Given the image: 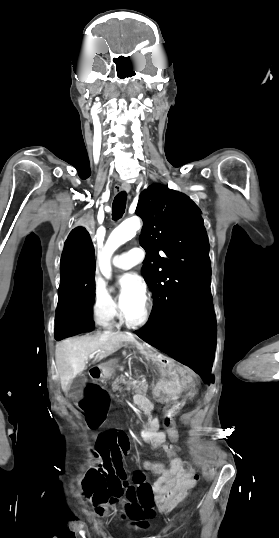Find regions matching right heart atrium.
Here are the masks:
<instances>
[{"label":"right heart atrium","instance_id":"right-heart-atrium-1","mask_svg":"<svg viewBox=\"0 0 279 538\" xmlns=\"http://www.w3.org/2000/svg\"><path fill=\"white\" fill-rule=\"evenodd\" d=\"M120 309L106 289L96 280L94 285L93 313L95 322L98 325H105L114 320L119 315Z\"/></svg>","mask_w":279,"mask_h":538}]
</instances>
